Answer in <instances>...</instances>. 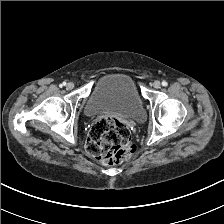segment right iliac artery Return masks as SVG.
<instances>
[{
  "label": "right iliac artery",
  "instance_id": "1",
  "mask_svg": "<svg viewBox=\"0 0 224 224\" xmlns=\"http://www.w3.org/2000/svg\"><path fill=\"white\" fill-rule=\"evenodd\" d=\"M65 85H66V83L63 82L62 84H60V87H63V86H65Z\"/></svg>",
  "mask_w": 224,
  "mask_h": 224
}]
</instances>
